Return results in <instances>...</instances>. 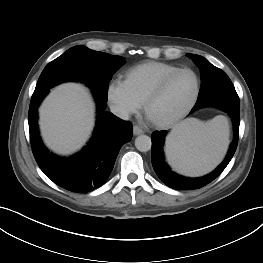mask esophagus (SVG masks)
Masks as SVG:
<instances>
[{
    "mask_svg": "<svg viewBox=\"0 0 263 263\" xmlns=\"http://www.w3.org/2000/svg\"><path fill=\"white\" fill-rule=\"evenodd\" d=\"M133 133H134V135H140V134H143L144 131L140 127L134 126L133 127Z\"/></svg>",
    "mask_w": 263,
    "mask_h": 263,
    "instance_id": "1",
    "label": "esophagus"
}]
</instances>
